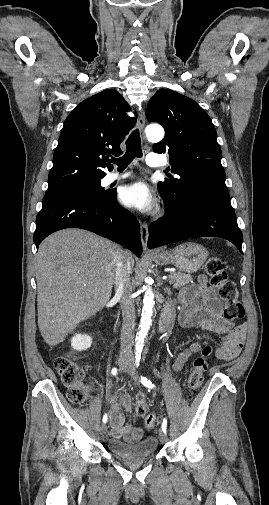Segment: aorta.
<instances>
[{"label":"aorta","instance_id":"762f6f07","mask_svg":"<svg viewBox=\"0 0 269 505\" xmlns=\"http://www.w3.org/2000/svg\"><path fill=\"white\" fill-rule=\"evenodd\" d=\"M146 137L150 140L160 141L164 137V129L160 125H149L145 129ZM146 285L143 286L144 298L143 307L141 314V321L139 325V332L136 337V350L142 351L146 336L152 324L153 308L155 305L154 293L152 287L149 284V280H146Z\"/></svg>","mask_w":269,"mask_h":505}]
</instances>
